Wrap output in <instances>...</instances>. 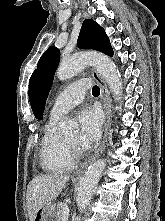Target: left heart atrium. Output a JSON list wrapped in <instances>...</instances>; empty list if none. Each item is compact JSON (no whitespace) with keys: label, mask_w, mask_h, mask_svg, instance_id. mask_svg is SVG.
I'll return each mask as SVG.
<instances>
[{"label":"left heart atrium","mask_w":165,"mask_h":221,"mask_svg":"<svg viewBox=\"0 0 165 221\" xmlns=\"http://www.w3.org/2000/svg\"><path fill=\"white\" fill-rule=\"evenodd\" d=\"M78 143L83 149H88L96 143L101 134L102 117L94 108H85L78 115Z\"/></svg>","instance_id":"39dd6f15"}]
</instances>
